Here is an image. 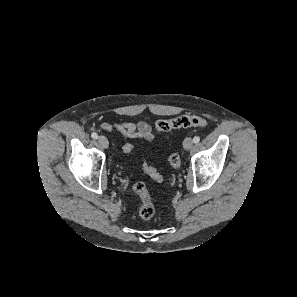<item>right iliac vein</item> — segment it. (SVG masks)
Wrapping results in <instances>:
<instances>
[{"label": "right iliac vein", "mask_w": 297, "mask_h": 297, "mask_svg": "<svg viewBox=\"0 0 297 297\" xmlns=\"http://www.w3.org/2000/svg\"><path fill=\"white\" fill-rule=\"evenodd\" d=\"M98 142L101 145V147H103V148H108V146H109V142H108L107 138L104 136H99Z\"/></svg>", "instance_id": "right-iliac-vein-1"}]
</instances>
